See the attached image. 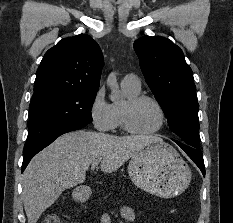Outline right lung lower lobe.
Returning a JSON list of instances; mask_svg holds the SVG:
<instances>
[{
    "mask_svg": "<svg viewBox=\"0 0 233 223\" xmlns=\"http://www.w3.org/2000/svg\"><path fill=\"white\" fill-rule=\"evenodd\" d=\"M83 127H85V126H83L81 124H71V125H67V126L62 127L58 132H56L55 134H53L52 136L47 138L41 145H39L34 150H32L29 153L24 155V161L22 164V171L21 172H23L25 170L26 166L28 165V163L30 162L32 157H34L43 148H45L46 146L51 144L57 137H59L60 135H62L64 133L74 131L77 129H81Z\"/></svg>",
    "mask_w": 233,
    "mask_h": 223,
    "instance_id": "98d812e1",
    "label": "right lung lower lobe"
}]
</instances>
